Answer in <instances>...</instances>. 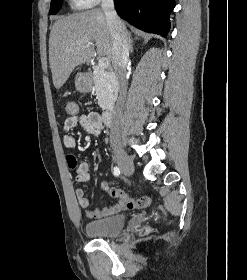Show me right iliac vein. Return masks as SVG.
<instances>
[{
	"mask_svg": "<svg viewBox=\"0 0 247 280\" xmlns=\"http://www.w3.org/2000/svg\"><path fill=\"white\" fill-rule=\"evenodd\" d=\"M113 154L121 172L128 176L132 175L134 172V164L129 155L119 147H114Z\"/></svg>",
	"mask_w": 247,
	"mask_h": 280,
	"instance_id": "right-iliac-vein-1",
	"label": "right iliac vein"
}]
</instances>
